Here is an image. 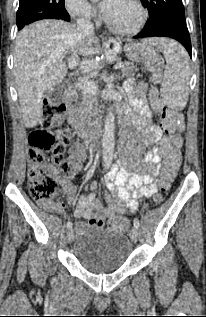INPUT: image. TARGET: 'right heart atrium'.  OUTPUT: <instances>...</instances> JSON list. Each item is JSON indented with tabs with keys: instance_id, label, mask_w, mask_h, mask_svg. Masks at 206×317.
Returning <instances> with one entry per match:
<instances>
[{
	"instance_id": "obj_1",
	"label": "right heart atrium",
	"mask_w": 206,
	"mask_h": 317,
	"mask_svg": "<svg viewBox=\"0 0 206 317\" xmlns=\"http://www.w3.org/2000/svg\"><path fill=\"white\" fill-rule=\"evenodd\" d=\"M65 6L76 19L91 20L96 17L95 8L87 0H65Z\"/></svg>"
}]
</instances>
